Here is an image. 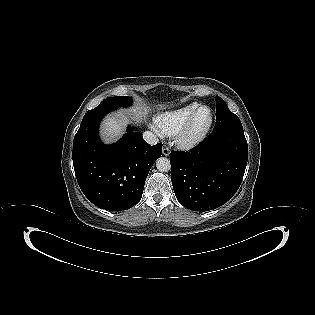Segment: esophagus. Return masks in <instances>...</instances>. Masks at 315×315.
<instances>
[{"mask_svg":"<svg viewBox=\"0 0 315 315\" xmlns=\"http://www.w3.org/2000/svg\"><path fill=\"white\" fill-rule=\"evenodd\" d=\"M162 153L164 156H169L170 155V149L167 146H164L162 148Z\"/></svg>","mask_w":315,"mask_h":315,"instance_id":"esophagus-1","label":"esophagus"}]
</instances>
